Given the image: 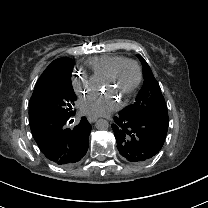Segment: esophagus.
Instances as JSON below:
<instances>
[{"instance_id":"1","label":"esophagus","mask_w":208,"mask_h":208,"mask_svg":"<svg viewBox=\"0 0 208 208\" xmlns=\"http://www.w3.org/2000/svg\"><path fill=\"white\" fill-rule=\"evenodd\" d=\"M97 119H98L97 117L92 116V115H90V116L87 117V120H88L90 123L96 122Z\"/></svg>"}]
</instances>
